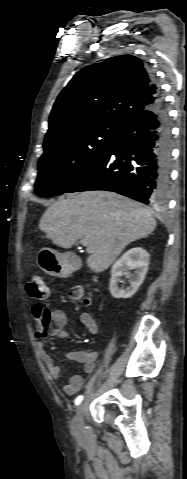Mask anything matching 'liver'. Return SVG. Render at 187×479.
I'll use <instances>...</instances> for the list:
<instances>
[{
	"instance_id": "1",
	"label": "liver",
	"mask_w": 187,
	"mask_h": 479,
	"mask_svg": "<svg viewBox=\"0 0 187 479\" xmlns=\"http://www.w3.org/2000/svg\"><path fill=\"white\" fill-rule=\"evenodd\" d=\"M39 228L62 248L78 240L89 242L88 267L96 273L108 269L131 242L150 235L156 220L150 210L124 196L87 191L61 197L40 219Z\"/></svg>"
}]
</instances>
